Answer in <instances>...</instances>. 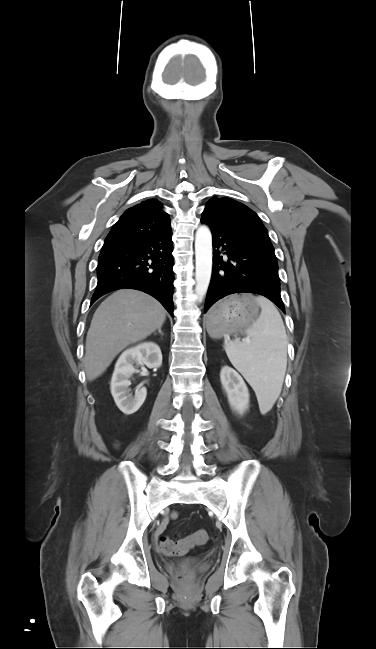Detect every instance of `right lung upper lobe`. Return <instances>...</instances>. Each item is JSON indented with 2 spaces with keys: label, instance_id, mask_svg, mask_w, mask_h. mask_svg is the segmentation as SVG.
I'll return each instance as SVG.
<instances>
[{
  "label": "right lung upper lobe",
  "instance_id": "obj_1",
  "mask_svg": "<svg viewBox=\"0 0 376 649\" xmlns=\"http://www.w3.org/2000/svg\"><path fill=\"white\" fill-rule=\"evenodd\" d=\"M170 229V219L160 202L149 199L124 212L106 237L102 249L122 246Z\"/></svg>",
  "mask_w": 376,
  "mask_h": 649
}]
</instances>
